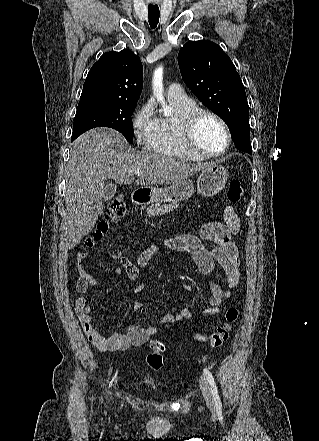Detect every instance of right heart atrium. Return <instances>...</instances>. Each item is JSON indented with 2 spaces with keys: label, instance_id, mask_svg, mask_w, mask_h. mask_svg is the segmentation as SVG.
<instances>
[{
  "label": "right heart atrium",
  "instance_id": "d8ad5b80",
  "mask_svg": "<svg viewBox=\"0 0 319 441\" xmlns=\"http://www.w3.org/2000/svg\"><path fill=\"white\" fill-rule=\"evenodd\" d=\"M158 119L154 114V107L150 101L145 102L134 114L132 118V132L137 146L141 150L152 148Z\"/></svg>",
  "mask_w": 319,
  "mask_h": 441
}]
</instances>
